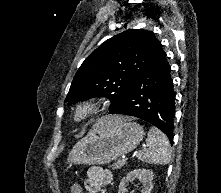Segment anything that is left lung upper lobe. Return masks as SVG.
Segmentation results:
<instances>
[{
  "instance_id": "1",
  "label": "left lung upper lobe",
  "mask_w": 221,
  "mask_h": 193,
  "mask_svg": "<svg viewBox=\"0 0 221 193\" xmlns=\"http://www.w3.org/2000/svg\"><path fill=\"white\" fill-rule=\"evenodd\" d=\"M165 52L151 31L130 29L102 43L82 63L69 93L68 104L91 97H108L112 109L128 94L133 81Z\"/></svg>"
}]
</instances>
